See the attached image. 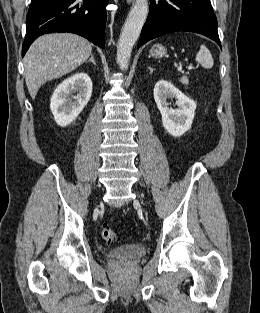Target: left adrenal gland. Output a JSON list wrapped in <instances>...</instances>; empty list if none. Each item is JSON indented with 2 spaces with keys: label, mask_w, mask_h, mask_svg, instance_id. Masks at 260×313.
Here are the masks:
<instances>
[{
  "label": "left adrenal gland",
  "mask_w": 260,
  "mask_h": 313,
  "mask_svg": "<svg viewBox=\"0 0 260 313\" xmlns=\"http://www.w3.org/2000/svg\"><path fill=\"white\" fill-rule=\"evenodd\" d=\"M148 69L150 70V73H152L153 72V68H151V67H148Z\"/></svg>",
  "instance_id": "a2214340"
}]
</instances>
